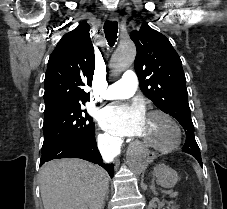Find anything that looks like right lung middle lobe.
<instances>
[{
	"label": "right lung middle lobe",
	"instance_id": "dd1d6c3e",
	"mask_svg": "<svg viewBox=\"0 0 227 209\" xmlns=\"http://www.w3.org/2000/svg\"><path fill=\"white\" fill-rule=\"evenodd\" d=\"M86 101L89 99L54 98L45 102L43 146L69 137H89L94 133L93 119L82 108Z\"/></svg>",
	"mask_w": 227,
	"mask_h": 209
}]
</instances>
